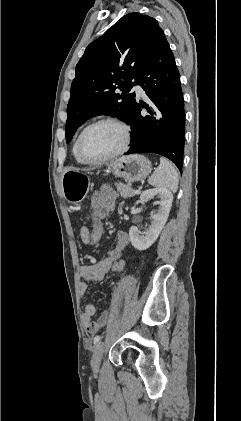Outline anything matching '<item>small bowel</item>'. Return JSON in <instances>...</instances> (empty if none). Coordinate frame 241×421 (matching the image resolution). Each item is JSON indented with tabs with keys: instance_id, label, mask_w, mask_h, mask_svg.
Instances as JSON below:
<instances>
[{
	"instance_id": "1",
	"label": "small bowel",
	"mask_w": 241,
	"mask_h": 421,
	"mask_svg": "<svg viewBox=\"0 0 241 421\" xmlns=\"http://www.w3.org/2000/svg\"><path fill=\"white\" fill-rule=\"evenodd\" d=\"M117 199V193L110 189L105 188L97 191L92 196L93 213L99 219H103L113 212ZM89 235V228L86 226L81 227L79 237L83 243H87ZM129 235L126 232H119L116 237L114 247L108 252L107 256L101 261L85 264L80 269V276L82 281L79 285V291L84 296L88 289V282L101 281L109 272L113 262L120 259L124 251L129 245ZM96 309L93 305L88 304L82 314V323L85 327L87 334L94 335L103 327L109 318L108 312L102 313L96 321H92Z\"/></svg>"
}]
</instances>
